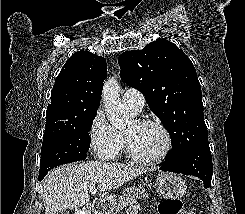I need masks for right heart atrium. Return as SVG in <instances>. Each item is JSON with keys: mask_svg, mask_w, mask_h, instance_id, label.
<instances>
[{"mask_svg": "<svg viewBox=\"0 0 245 214\" xmlns=\"http://www.w3.org/2000/svg\"><path fill=\"white\" fill-rule=\"evenodd\" d=\"M89 141L96 157L102 161L115 159L123 144L122 136L101 110L97 111L91 120Z\"/></svg>", "mask_w": 245, "mask_h": 214, "instance_id": "d8ad5b80", "label": "right heart atrium"}]
</instances>
